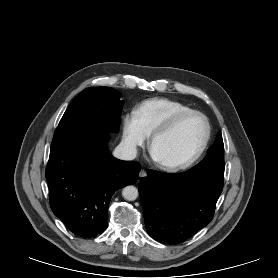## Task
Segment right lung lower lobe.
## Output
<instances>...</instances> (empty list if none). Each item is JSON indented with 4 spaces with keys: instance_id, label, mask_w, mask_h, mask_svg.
I'll return each mask as SVG.
<instances>
[{
    "instance_id": "right-lung-lower-lobe-1",
    "label": "right lung lower lobe",
    "mask_w": 278,
    "mask_h": 278,
    "mask_svg": "<svg viewBox=\"0 0 278 278\" xmlns=\"http://www.w3.org/2000/svg\"><path fill=\"white\" fill-rule=\"evenodd\" d=\"M109 133L82 135L51 146L46 179L53 213L74 234L93 237L107 228L108 206L119 188L133 184L141 166L114 158Z\"/></svg>"
}]
</instances>
